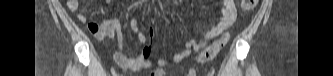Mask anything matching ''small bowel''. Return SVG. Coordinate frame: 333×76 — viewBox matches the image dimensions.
<instances>
[{
    "label": "small bowel",
    "mask_w": 333,
    "mask_h": 76,
    "mask_svg": "<svg viewBox=\"0 0 333 76\" xmlns=\"http://www.w3.org/2000/svg\"><path fill=\"white\" fill-rule=\"evenodd\" d=\"M67 7L70 11L75 12L79 8L78 0H68ZM236 6L233 0H223L221 8V16L218 22L211 28L204 30L203 38L196 39L190 38L186 40L184 48L173 55L171 59H160L156 63L150 60L152 54V46L148 44V39L145 34L140 32L138 20L133 18L130 20V28L136 33L137 39L140 44H143L141 51L133 58L128 57L123 50L114 53L113 58L116 64L127 70H140V69H153L155 72H150L149 76H163L166 74L165 69L169 68L172 64L183 61L191 52H198L203 50L208 42L218 37L221 33L227 30L236 20ZM77 19L81 23H88L89 31L94 34L98 39H105L117 36L121 40V25L115 19H104L101 22L88 21L87 16L82 13H77ZM151 35L153 29L149 28ZM188 76H194L193 70L187 73Z\"/></svg>",
    "instance_id": "1"
}]
</instances>
